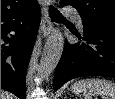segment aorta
<instances>
[{
	"label": "aorta",
	"instance_id": "aorta-1",
	"mask_svg": "<svg viewBox=\"0 0 115 99\" xmlns=\"http://www.w3.org/2000/svg\"><path fill=\"white\" fill-rule=\"evenodd\" d=\"M64 37L59 29H54L49 36L40 61V73L49 76L56 68L63 52Z\"/></svg>",
	"mask_w": 115,
	"mask_h": 99
}]
</instances>
